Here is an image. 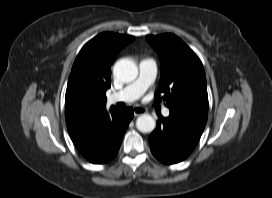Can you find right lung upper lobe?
I'll return each mask as SVG.
<instances>
[{"label": "right lung upper lobe", "mask_w": 272, "mask_h": 198, "mask_svg": "<svg viewBox=\"0 0 272 198\" xmlns=\"http://www.w3.org/2000/svg\"><path fill=\"white\" fill-rule=\"evenodd\" d=\"M134 39L130 35L104 32L83 46L73 64L65 96L69 133L106 110L111 64L119 51Z\"/></svg>", "instance_id": "cb5924a9"}]
</instances>
